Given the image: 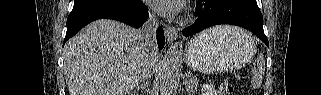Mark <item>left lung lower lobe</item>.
<instances>
[{
  "label": "left lung lower lobe",
  "instance_id": "obj_1",
  "mask_svg": "<svg viewBox=\"0 0 321 95\" xmlns=\"http://www.w3.org/2000/svg\"><path fill=\"white\" fill-rule=\"evenodd\" d=\"M195 14V23L183 30L186 37L214 25L231 24L250 30L269 46L256 0H197Z\"/></svg>",
  "mask_w": 321,
  "mask_h": 95
}]
</instances>
